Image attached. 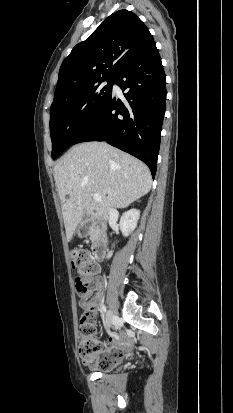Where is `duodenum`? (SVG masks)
Segmentation results:
<instances>
[{"mask_svg":"<svg viewBox=\"0 0 233 413\" xmlns=\"http://www.w3.org/2000/svg\"><path fill=\"white\" fill-rule=\"evenodd\" d=\"M89 231L90 229L87 226H83L81 229V232L83 235L88 234ZM95 235H96V239L92 246V252H93L94 257L97 260H101L104 257V254L106 251L107 239L101 229H98V228L95 229Z\"/></svg>","mask_w":233,"mask_h":413,"instance_id":"1","label":"duodenum"}]
</instances>
